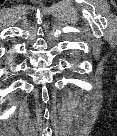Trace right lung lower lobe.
Segmentation results:
<instances>
[{"label":"right lung lower lobe","mask_w":117,"mask_h":136,"mask_svg":"<svg viewBox=\"0 0 117 136\" xmlns=\"http://www.w3.org/2000/svg\"><path fill=\"white\" fill-rule=\"evenodd\" d=\"M11 62H12V58L9 57V58H8V65H3V67L7 68L6 71H7V74H8V78H9V79H10V66H11ZM7 74L2 75V77L5 76L4 78H6ZM7 81H8V79H7Z\"/></svg>","instance_id":"1"}]
</instances>
